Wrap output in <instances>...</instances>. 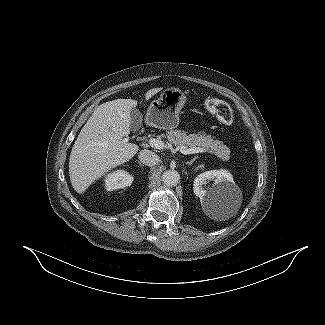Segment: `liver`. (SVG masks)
Instances as JSON below:
<instances>
[{
  "instance_id": "6515ba94",
  "label": "liver",
  "mask_w": 325,
  "mask_h": 325,
  "mask_svg": "<svg viewBox=\"0 0 325 325\" xmlns=\"http://www.w3.org/2000/svg\"><path fill=\"white\" fill-rule=\"evenodd\" d=\"M162 88L146 92L149 100ZM137 106L132 99H116L95 108L81 129L70 154L69 176L81 194L112 168L129 161L139 150L125 138L130 133V112Z\"/></svg>"
}]
</instances>
